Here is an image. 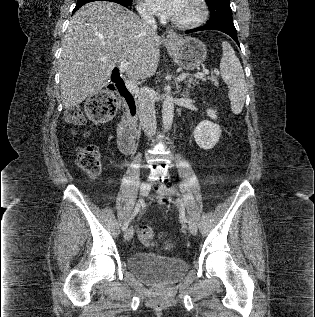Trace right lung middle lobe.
<instances>
[{
    "mask_svg": "<svg viewBox=\"0 0 315 317\" xmlns=\"http://www.w3.org/2000/svg\"><path fill=\"white\" fill-rule=\"evenodd\" d=\"M93 1H97V0H77V4H84V3H89ZM106 1H118L128 5H132V0H106Z\"/></svg>",
    "mask_w": 315,
    "mask_h": 317,
    "instance_id": "obj_1",
    "label": "right lung middle lobe"
}]
</instances>
